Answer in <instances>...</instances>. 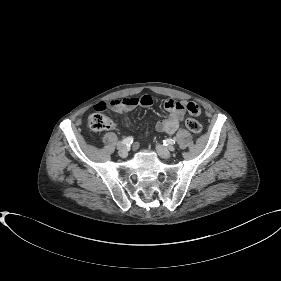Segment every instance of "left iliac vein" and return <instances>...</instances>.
I'll list each match as a JSON object with an SVG mask.
<instances>
[{
  "mask_svg": "<svg viewBox=\"0 0 281 281\" xmlns=\"http://www.w3.org/2000/svg\"><path fill=\"white\" fill-rule=\"evenodd\" d=\"M156 150L162 158L169 159L172 156L173 147L166 148L165 146H163L161 144H157Z\"/></svg>",
  "mask_w": 281,
  "mask_h": 281,
  "instance_id": "4c4485c4",
  "label": "left iliac vein"
}]
</instances>
